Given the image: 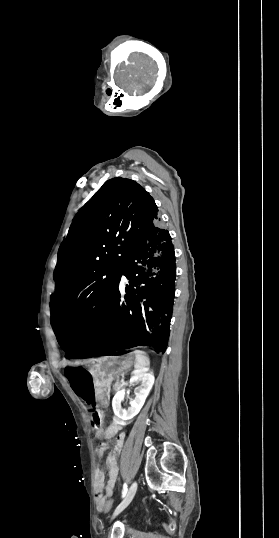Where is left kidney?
<instances>
[{
    "label": "left kidney",
    "instance_id": "obj_1",
    "mask_svg": "<svg viewBox=\"0 0 279 538\" xmlns=\"http://www.w3.org/2000/svg\"><path fill=\"white\" fill-rule=\"evenodd\" d=\"M154 380L155 378L152 372H148L145 368L143 370H134L133 376L130 378V384L141 382V388L134 390L135 398L131 400L128 410H124L121 406L125 396V388L115 394L112 400V408L115 416H118L121 420H132L134 416H137L154 384Z\"/></svg>",
    "mask_w": 279,
    "mask_h": 538
}]
</instances>
